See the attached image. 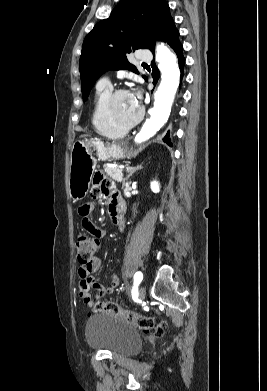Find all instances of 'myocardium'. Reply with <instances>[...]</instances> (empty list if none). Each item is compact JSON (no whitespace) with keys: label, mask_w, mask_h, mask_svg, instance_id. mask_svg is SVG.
I'll list each match as a JSON object with an SVG mask.
<instances>
[{"label":"myocardium","mask_w":267,"mask_h":391,"mask_svg":"<svg viewBox=\"0 0 267 391\" xmlns=\"http://www.w3.org/2000/svg\"><path fill=\"white\" fill-rule=\"evenodd\" d=\"M125 93H129L128 90L126 89H122V88H119V89H116V90H113L110 95L108 96L107 100H106V103H105V110H106V114H107V117L109 118V120L115 125L117 126L118 128H121L123 130H129L133 127H135L138 123H140V121L142 120L143 116H144V110L143 108H140V111H139V114L137 115V117L135 119H133L132 121L130 122H127V123H124V122H121L115 115V112H114V103H115V100L118 96L122 95V94H125Z\"/></svg>","instance_id":"myocardium-1"}]
</instances>
